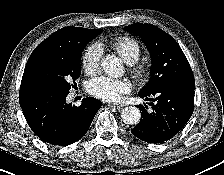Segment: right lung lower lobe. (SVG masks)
<instances>
[{
	"instance_id": "obj_1",
	"label": "right lung lower lobe",
	"mask_w": 224,
	"mask_h": 175,
	"mask_svg": "<svg viewBox=\"0 0 224 175\" xmlns=\"http://www.w3.org/2000/svg\"><path fill=\"white\" fill-rule=\"evenodd\" d=\"M69 91L48 87L20 88L19 100L31 130L44 142L70 145L88 131L101 101L88 97L81 106L66 102Z\"/></svg>"
}]
</instances>
